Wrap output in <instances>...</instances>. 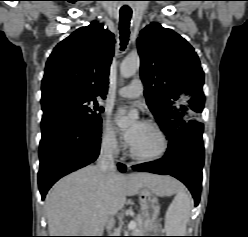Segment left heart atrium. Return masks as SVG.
<instances>
[{"label": "left heart atrium", "instance_id": "39dd6f15", "mask_svg": "<svg viewBox=\"0 0 248 237\" xmlns=\"http://www.w3.org/2000/svg\"><path fill=\"white\" fill-rule=\"evenodd\" d=\"M144 123L141 120L134 122L130 128L124 132V138L129 145H132L139 135Z\"/></svg>", "mask_w": 248, "mask_h": 237}]
</instances>
